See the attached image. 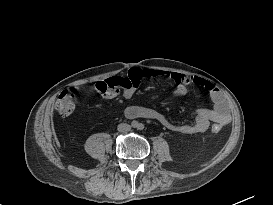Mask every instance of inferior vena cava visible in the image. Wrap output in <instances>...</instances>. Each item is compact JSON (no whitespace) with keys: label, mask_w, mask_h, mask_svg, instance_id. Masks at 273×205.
I'll list each match as a JSON object with an SVG mask.
<instances>
[{"label":"inferior vena cava","mask_w":273,"mask_h":205,"mask_svg":"<svg viewBox=\"0 0 273 205\" xmlns=\"http://www.w3.org/2000/svg\"><path fill=\"white\" fill-rule=\"evenodd\" d=\"M130 129H131V126L127 123H120L117 127V130L119 132H128L130 131Z\"/></svg>","instance_id":"inferior-vena-cava-1"}]
</instances>
